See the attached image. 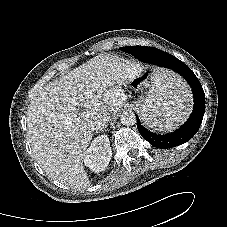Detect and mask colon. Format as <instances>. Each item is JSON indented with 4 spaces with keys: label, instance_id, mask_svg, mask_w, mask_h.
I'll return each instance as SVG.
<instances>
[{
    "label": "colon",
    "instance_id": "1",
    "mask_svg": "<svg viewBox=\"0 0 227 227\" xmlns=\"http://www.w3.org/2000/svg\"><path fill=\"white\" fill-rule=\"evenodd\" d=\"M143 79H144V77H141V78H137L135 81L141 82V81H143Z\"/></svg>",
    "mask_w": 227,
    "mask_h": 227
}]
</instances>
